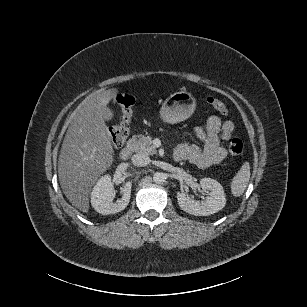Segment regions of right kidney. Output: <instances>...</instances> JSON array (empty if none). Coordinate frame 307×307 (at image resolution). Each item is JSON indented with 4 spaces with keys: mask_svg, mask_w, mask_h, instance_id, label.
Here are the masks:
<instances>
[{
    "mask_svg": "<svg viewBox=\"0 0 307 307\" xmlns=\"http://www.w3.org/2000/svg\"><path fill=\"white\" fill-rule=\"evenodd\" d=\"M131 182H126L122 188V198L113 203L114 188L110 175L102 176L94 186L91 193L92 207L102 215L115 214L124 210L131 195Z\"/></svg>",
    "mask_w": 307,
    "mask_h": 307,
    "instance_id": "ca27d5eb",
    "label": "right kidney"
}]
</instances>
